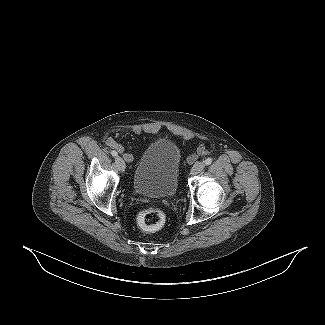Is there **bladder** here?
<instances>
[{
  "mask_svg": "<svg viewBox=\"0 0 325 325\" xmlns=\"http://www.w3.org/2000/svg\"><path fill=\"white\" fill-rule=\"evenodd\" d=\"M181 152L169 139L151 142L143 152L133 175L134 190L147 197H170L178 187Z\"/></svg>",
  "mask_w": 325,
  "mask_h": 325,
  "instance_id": "1",
  "label": "bladder"
}]
</instances>
